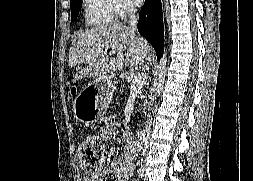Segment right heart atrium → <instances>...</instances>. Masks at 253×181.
I'll use <instances>...</instances> for the list:
<instances>
[{"instance_id":"1","label":"right heart atrium","mask_w":253,"mask_h":181,"mask_svg":"<svg viewBox=\"0 0 253 181\" xmlns=\"http://www.w3.org/2000/svg\"><path fill=\"white\" fill-rule=\"evenodd\" d=\"M112 1L114 7V14L119 18L126 17L127 15L135 12V8L131 0H112Z\"/></svg>"}]
</instances>
